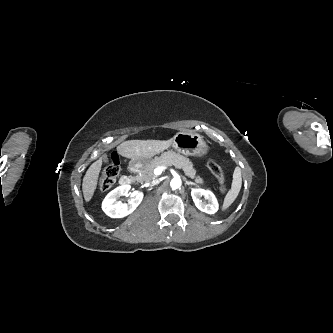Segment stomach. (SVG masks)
<instances>
[{"label":"stomach","mask_w":333,"mask_h":333,"mask_svg":"<svg viewBox=\"0 0 333 333\" xmlns=\"http://www.w3.org/2000/svg\"><path fill=\"white\" fill-rule=\"evenodd\" d=\"M172 146L185 156L204 157L209 150L207 142L204 140L203 136L198 133L178 132L172 138ZM149 160L150 158L132 159L129 165L134 168H142Z\"/></svg>","instance_id":"1"}]
</instances>
